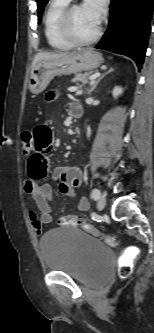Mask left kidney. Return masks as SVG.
I'll use <instances>...</instances> for the list:
<instances>
[{"mask_svg":"<svg viewBox=\"0 0 154 333\" xmlns=\"http://www.w3.org/2000/svg\"><path fill=\"white\" fill-rule=\"evenodd\" d=\"M123 93V88L119 87V86H116L114 89H113V92H112V95L114 98H117L119 95H121Z\"/></svg>","mask_w":154,"mask_h":333,"instance_id":"left-kidney-1","label":"left kidney"}]
</instances>
